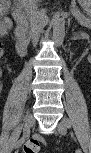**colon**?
Masks as SVG:
<instances>
[{
	"label": "colon",
	"instance_id": "5ec220e1",
	"mask_svg": "<svg viewBox=\"0 0 91 153\" xmlns=\"http://www.w3.org/2000/svg\"><path fill=\"white\" fill-rule=\"evenodd\" d=\"M10 26V21L7 19L1 20V27L5 30H8ZM43 144V141L40 139H31L23 146L24 153H37L40 150V145Z\"/></svg>",
	"mask_w": 91,
	"mask_h": 153
}]
</instances>
